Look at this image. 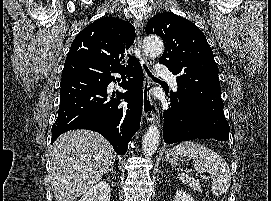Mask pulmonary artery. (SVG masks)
<instances>
[{
  "label": "pulmonary artery",
  "instance_id": "obj_1",
  "mask_svg": "<svg viewBox=\"0 0 271 201\" xmlns=\"http://www.w3.org/2000/svg\"><path fill=\"white\" fill-rule=\"evenodd\" d=\"M156 73L162 77L167 78L171 85L174 88H177L176 77L166 66H164L163 64H158L156 67Z\"/></svg>",
  "mask_w": 271,
  "mask_h": 201
}]
</instances>
